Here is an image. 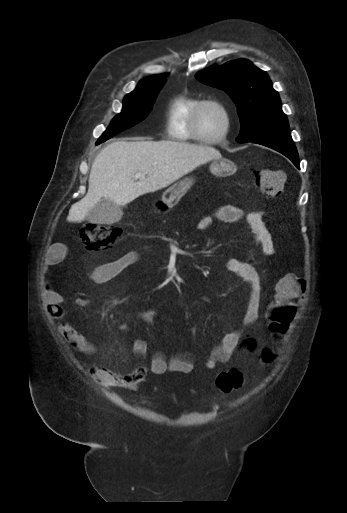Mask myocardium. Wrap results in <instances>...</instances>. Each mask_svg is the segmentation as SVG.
Instances as JSON below:
<instances>
[{
  "label": "myocardium",
  "mask_w": 347,
  "mask_h": 513,
  "mask_svg": "<svg viewBox=\"0 0 347 513\" xmlns=\"http://www.w3.org/2000/svg\"><path fill=\"white\" fill-rule=\"evenodd\" d=\"M207 105H215L217 106L223 113L224 117H225V127H224V130L223 132L215 137V138H206V137H203L200 132H199V129H198V116H199V113L200 111ZM231 126H232V115H231V111L229 109V107L224 104L223 102L221 101H218V100H215V99H203L201 100L196 108L194 109L193 113H192V116H191V121H190V129H191V132L192 134L201 141V143H204V144H209V145H213V144H217L221 141H223L224 139L227 138L230 130H231Z\"/></svg>",
  "instance_id": "1"
}]
</instances>
